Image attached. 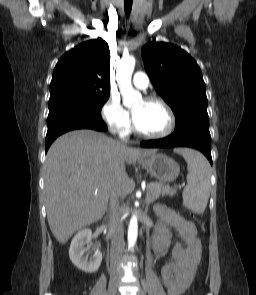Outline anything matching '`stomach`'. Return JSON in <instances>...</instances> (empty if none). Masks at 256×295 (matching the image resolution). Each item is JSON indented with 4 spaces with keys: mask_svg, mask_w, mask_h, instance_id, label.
Returning a JSON list of instances; mask_svg holds the SVG:
<instances>
[{
    "mask_svg": "<svg viewBox=\"0 0 256 295\" xmlns=\"http://www.w3.org/2000/svg\"><path fill=\"white\" fill-rule=\"evenodd\" d=\"M142 166L156 179L161 182L174 181L179 173V164L162 153H155L141 159Z\"/></svg>",
    "mask_w": 256,
    "mask_h": 295,
    "instance_id": "0dacf381",
    "label": "stomach"
}]
</instances>
